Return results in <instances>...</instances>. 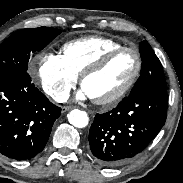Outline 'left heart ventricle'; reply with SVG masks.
Segmentation results:
<instances>
[{
	"label": "left heart ventricle",
	"mask_w": 183,
	"mask_h": 183,
	"mask_svg": "<svg viewBox=\"0 0 183 183\" xmlns=\"http://www.w3.org/2000/svg\"><path fill=\"white\" fill-rule=\"evenodd\" d=\"M136 66L135 56L128 51L117 54L101 71L89 76L83 88L91 98H107L122 89Z\"/></svg>",
	"instance_id": "1"
}]
</instances>
